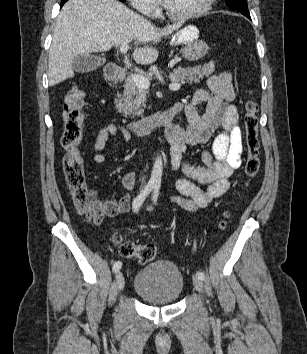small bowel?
I'll use <instances>...</instances> for the list:
<instances>
[{
    "label": "small bowel",
    "mask_w": 307,
    "mask_h": 354,
    "mask_svg": "<svg viewBox=\"0 0 307 354\" xmlns=\"http://www.w3.org/2000/svg\"><path fill=\"white\" fill-rule=\"evenodd\" d=\"M234 99L232 76L229 72H222L212 75L207 81V89L196 90L187 104L173 107L175 115H184L186 125H171L166 130V138L171 145L170 167L172 170L181 168L186 178L175 181L174 188L178 194L170 199L185 210L197 211L224 195L230 186L229 177L241 166L242 135L237 109L231 104ZM199 104L206 105L203 115L196 110ZM118 132L127 140L131 138L129 131L116 123H109L98 131L93 147L94 162L106 160L104 148ZM210 140L211 150L202 152V165H195L184 158L188 148ZM134 185L135 174L126 173L122 178L121 194L104 203L109 208L107 216L129 210L127 191L133 190ZM95 194L92 191V195Z\"/></svg>",
    "instance_id": "c3829d8e"
}]
</instances>
